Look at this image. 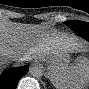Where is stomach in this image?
<instances>
[{
  "label": "stomach",
  "mask_w": 89,
  "mask_h": 89,
  "mask_svg": "<svg viewBox=\"0 0 89 89\" xmlns=\"http://www.w3.org/2000/svg\"><path fill=\"white\" fill-rule=\"evenodd\" d=\"M45 61L48 63L49 70L57 69L66 66L70 63V55L62 54L60 57L56 55H47Z\"/></svg>",
  "instance_id": "obj_1"
}]
</instances>
